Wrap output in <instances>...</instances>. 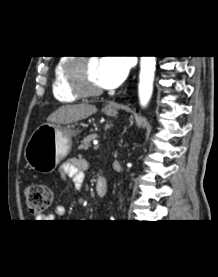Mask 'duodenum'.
<instances>
[{
    "instance_id": "duodenum-1",
    "label": "duodenum",
    "mask_w": 218,
    "mask_h": 277,
    "mask_svg": "<svg viewBox=\"0 0 218 277\" xmlns=\"http://www.w3.org/2000/svg\"><path fill=\"white\" fill-rule=\"evenodd\" d=\"M95 190L98 196L103 197L108 191V182L105 178H98L95 183Z\"/></svg>"
}]
</instances>
